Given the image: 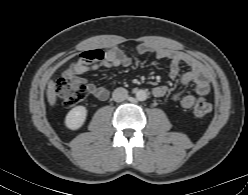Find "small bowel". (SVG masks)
I'll return each mask as SVG.
<instances>
[{"instance_id":"1","label":"small bowel","mask_w":248,"mask_h":195,"mask_svg":"<svg viewBox=\"0 0 248 195\" xmlns=\"http://www.w3.org/2000/svg\"><path fill=\"white\" fill-rule=\"evenodd\" d=\"M137 54L154 53L160 59H167L170 62L169 76L171 78L179 77L180 84L187 86L194 85L195 93L198 96H206L210 92V81L207 70L197 60L180 52L161 47L152 43L140 44L136 49ZM132 57L122 49L112 47L106 50L98 48L85 51L81 58L68 66L64 71V76L68 79L79 80L84 83L91 95L98 100L104 101L109 96V90L105 87L88 83L80 76L88 71H94L99 68L109 67H128L132 64ZM185 63L189 70L180 75V65ZM167 92L165 86H156L153 94L156 98L163 97ZM174 100L179 101L184 108H191L195 103V96L192 94H176Z\"/></svg>"}]
</instances>
